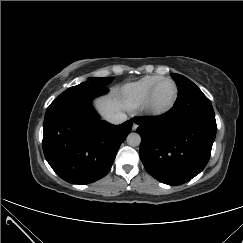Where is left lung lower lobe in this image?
I'll return each mask as SVG.
<instances>
[{"label":"left lung lower lobe","instance_id":"0a47b994","mask_svg":"<svg viewBox=\"0 0 243 243\" xmlns=\"http://www.w3.org/2000/svg\"><path fill=\"white\" fill-rule=\"evenodd\" d=\"M185 94L181 91L165 114L133 118L139 125V154L146 171L168 185L186 183L205 168L217 131L215 117H193L182 112L179 99Z\"/></svg>","mask_w":243,"mask_h":243}]
</instances>
